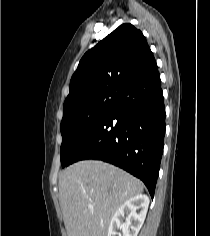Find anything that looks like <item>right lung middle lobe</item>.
Listing matches in <instances>:
<instances>
[{
	"mask_svg": "<svg viewBox=\"0 0 210 236\" xmlns=\"http://www.w3.org/2000/svg\"><path fill=\"white\" fill-rule=\"evenodd\" d=\"M118 92H108L79 102L63 114L61 164L65 167L92 129L113 108Z\"/></svg>",
	"mask_w": 210,
	"mask_h": 236,
	"instance_id": "right-lung-middle-lobe-1",
	"label": "right lung middle lobe"
}]
</instances>
